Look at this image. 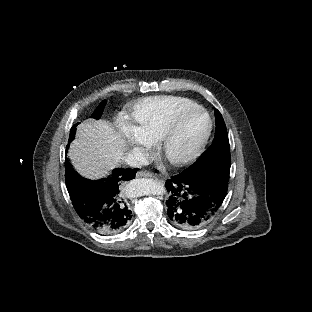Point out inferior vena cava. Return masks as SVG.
Segmentation results:
<instances>
[{"label": "inferior vena cava", "instance_id": "inferior-vena-cava-1", "mask_svg": "<svg viewBox=\"0 0 312 312\" xmlns=\"http://www.w3.org/2000/svg\"><path fill=\"white\" fill-rule=\"evenodd\" d=\"M123 161L131 167L140 168L149 164V157L142 148H134L132 153L124 157Z\"/></svg>", "mask_w": 312, "mask_h": 312}]
</instances>
